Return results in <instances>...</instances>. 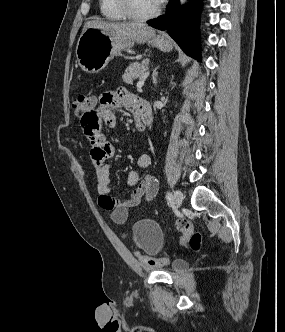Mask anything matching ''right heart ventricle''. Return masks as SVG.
<instances>
[{"label":"right heart ventricle","instance_id":"right-heart-ventricle-1","mask_svg":"<svg viewBox=\"0 0 285 332\" xmlns=\"http://www.w3.org/2000/svg\"><path fill=\"white\" fill-rule=\"evenodd\" d=\"M102 16L110 21H124L128 17L120 9L117 0H99Z\"/></svg>","mask_w":285,"mask_h":332}]
</instances>
